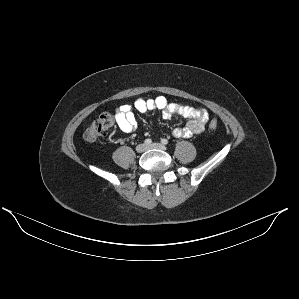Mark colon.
<instances>
[{
    "instance_id": "1",
    "label": "colon",
    "mask_w": 299,
    "mask_h": 299,
    "mask_svg": "<svg viewBox=\"0 0 299 299\" xmlns=\"http://www.w3.org/2000/svg\"><path fill=\"white\" fill-rule=\"evenodd\" d=\"M114 124L113 116L109 113H103L93 120L84 132V139L94 141L100 137L106 136ZM217 121L211 120L209 127L211 130L217 129Z\"/></svg>"
}]
</instances>
